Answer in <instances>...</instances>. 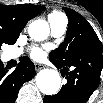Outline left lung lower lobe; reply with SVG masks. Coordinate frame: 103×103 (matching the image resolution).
I'll return each instance as SVG.
<instances>
[{
    "mask_svg": "<svg viewBox=\"0 0 103 103\" xmlns=\"http://www.w3.org/2000/svg\"><path fill=\"white\" fill-rule=\"evenodd\" d=\"M54 65L65 72L67 84L56 95L45 96L44 103H86L100 83L103 50L93 48L68 66Z\"/></svg>",
    "mask_w": 103,
    "mask_h": 103,
    "instance_id": "left-lung-lower-lobe-1",
    "label": "left lung lower lobe"
}]
</instances>
